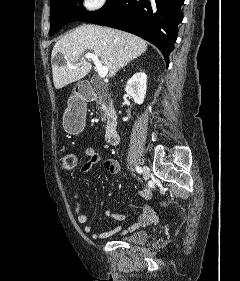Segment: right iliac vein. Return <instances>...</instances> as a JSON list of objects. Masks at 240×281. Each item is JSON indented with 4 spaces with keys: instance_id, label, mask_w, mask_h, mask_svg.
Returning a JSON list of instances; mask_svg holds the SVG:
<instances>
[{
    "instance_id": "63e3f726",
    "label": "right iliac vein",
    "mask_w": 240,
    "mask_h": 281,
    "mask_svg": "<svg viewBox=\"0 0 240 281\" xmlns=\"http://www.w3.org/2000/svg\"><path fill=\"white\" fill-rule=\"evenodd\" d=\"M143 177L145 180H148L150 177V170L147 166L143 168Z\"/></svg>"
}]
</instances>
